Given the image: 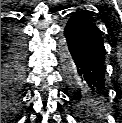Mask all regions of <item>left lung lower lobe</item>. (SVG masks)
Returning <instances> with one entry per match:
<instances>
[{"label":"left lung lower lobe","mask_w":122,"mask_h":123,"mask_svg":"<svg viewBox=\"0 0 122 123\" xmlns=\"http://www.w3.org/2000/svg\"><path fill=\"white\" fill-rule=\"evenodd\" d=\"M61 54L65 82L75 94L92 100L104 96L105 48L93 21L78 14L69 19Z\"/></svg>","instance_id":"1"}]
</instances>
